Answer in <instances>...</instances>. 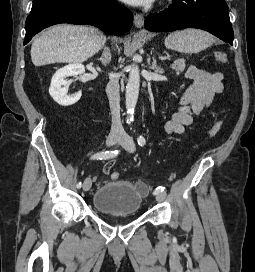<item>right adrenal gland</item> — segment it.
Instances as JSON below:
<instances>
[{"instance_id":"right-adrenal-gland-1","label":"right adrenal gland","mask_w":255,"mask_h":272,"mask_svg":"<svg viewBox=\"0 0 255 272\" xmlns=\"http://www.w3.org/2000/svg\"><path fill=\"white\" fill-rule=\"evenodd\" d=\"M103 66H106L111 60V53L108 47H104L102 51V56L98 59Z\"/></svg>"}]
</instances>
